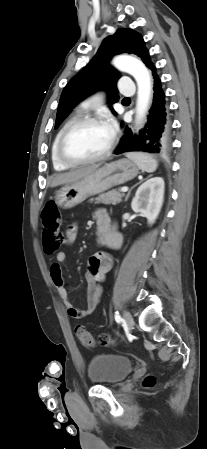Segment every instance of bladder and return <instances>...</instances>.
<instances>
[{"label": "bladder", "mask_w": 207, "mask_h": 449, "mask_svg": "<svg viewBox=\"0 0 207 449\" xmlns=\"http://www.w3.org/2000/svg\"><path fill=\"white\" fill-rule=\"evenodd\" d=\"M132 369L131 359L115 354L100 353L90 358L87 373L92 383L114 385L124 380Z\"/></svg>", "instance_id": "bladder-1"}]
</instances>
